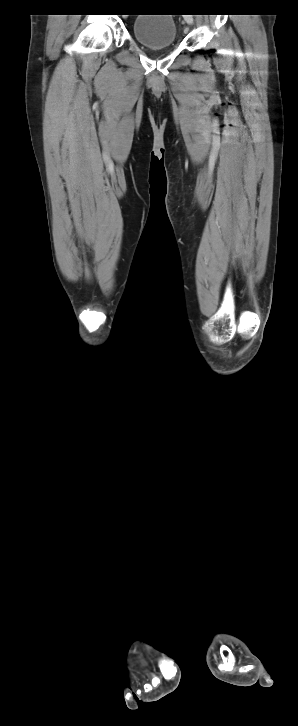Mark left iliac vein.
<instances>
[{"mask_svg": "<svg viewBox=\"0 0 298 726\" xmlns=\"http://www.w3.org/2000/svg\"><path fill=\"white\" fill-rule=\"evenodd\" d=\"M185 20H186V22H187V23H188L189 25L193 24V18H192V16H186V17H185ZM185 32H187V29L185 30Z\"/></svg>", "mask_w": 298, "mask_h": 726, "instance_id": "left-iliac-vein-1", "label": "left iliac vein"}]
</instances>
